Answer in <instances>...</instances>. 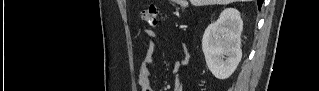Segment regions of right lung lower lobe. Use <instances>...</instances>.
<instances>
[{
	"mask_svg": "<svg viewBox=\"0 0 319 91\" xmlns=\"http://www.w3.org/2000/svg\"><path fill=\"white\" fill-rule=\"evenodd\" d=\"M257 3H258V6L259 8L261 7L262 3H263V0H257Z\"/></svg>",
	"mask_w": 319,
	"mask_h": 91,
	"instance_id": "98d812e1",
	"label": "right lung lower lobe"
}]
</instances>
